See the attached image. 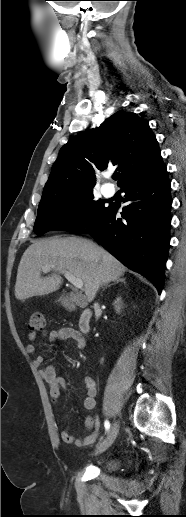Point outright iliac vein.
<instances>
[{
	"mask_svg": "<svg viewBox=\"0 0 186 517\" xmlns=\"http://www.w3.org/2000/svg\"><path fill=\"white\" fill-rule=\"evenodd\" d=\"M119 422L118 421H114L111 428H110V431L108 433V436L107 438L105 439V441L99 445L97 447V449L95 450V454H101L103 453L104 451H106L115 441L117 435H118V432H119Z\"/></svg>",
	"mask_w": 186,
	"mask_h": 517,
	"instance_id": "63e3f726",
	"label": "right iliac vein"
}]
</instances>
